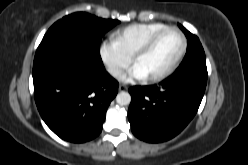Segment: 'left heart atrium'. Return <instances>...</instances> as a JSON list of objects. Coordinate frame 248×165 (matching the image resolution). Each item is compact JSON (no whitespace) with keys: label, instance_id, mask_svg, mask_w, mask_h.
<instances>
[{"label":"left heart atrium","instance_id":"obj_1","mask_svg":"<svg viewBox=\"0 0 248 165\" xmlns=\"http://www.w3.org/2000/svg\"><path fill=\"white\" fill-rule=\"evenodd\" d=\"M147 75L141 66L135 64L132 69L129 70L127 74L122 77V80L125 82H130L133 80H143L146 79Z\"/></svg>","mask_w":248,"mask_h":165}]
</instances>
